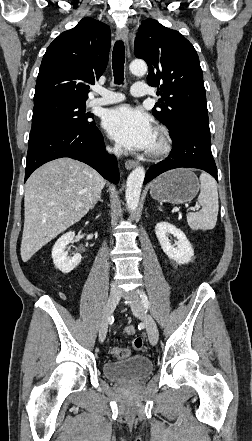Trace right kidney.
<instances>
[{"mask_svg":"<svg viewBox=\"0 0 252 441\" xmlns=\"http://www.w3.org/2000/svg\"><path fill=\"white\" fill-rule=\"evenodd\" d=\"M74 236V232L65 233L56 241L52 249V258L55 267L65 274L76 268L82 258L80 254H75L72 258H69L67 256L68 253L65 252L66 246L73 241Z\"/></svg>","mask_w":252,"mask_h":441,"instance_id":"obj_1","label":"right kidney"}]
</instances>
